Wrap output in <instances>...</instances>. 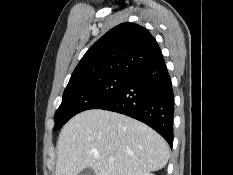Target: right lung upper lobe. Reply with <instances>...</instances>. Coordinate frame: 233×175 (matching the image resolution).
<instances>
[{
	"instance_id": "right-lung-upper-lobe-1",
	"label": "right lung upper lobe",
	"mask_w": 233,
	"mask_h": 175,
	"mask_svg": "<svg viewBox=\"0 0 233 175\" xmlns=\"http://www.w3.org/2000/svg\"><path fill=\"white\" fill-rule=\"evenodd\" d=\"M163 58L147 29L122 23L102 36L80 60L69 83L89 77L118 73L134 75Z\"/></svg>"
}]
</instances>
